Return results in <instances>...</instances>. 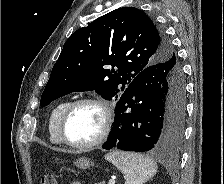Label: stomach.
<instances>
[{"mask_svg": "<svg viewBox=\"0 0 224 184\" xmlns=\"http://www.w3.org/2000/svg\"><path fill=\"white\" fill-rule=\"evenodd\" d=\"M74 164L78 168L87 169L92 165V161H90V159H88V158L82 157V158H79L78 160H76V162Z\"/></svg>", "mask_w": 224, "mask_h": 184, "instance_id": "0dacf381", "label": "stomach"}]
</instances>
